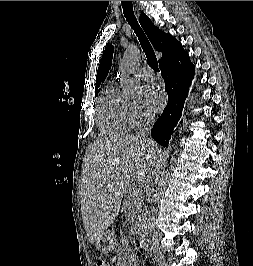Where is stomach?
Listing matches in <instances>:
<instances>
[{"instance_id":"obj_1","label":"stomach","mask_w":253,"mask_h":266,"mask_svg":"<svg viewBox=\"0 0 253 266\" xmlns=\"http://www.w3.org/2000/svg\"><path fill=\"white\" fill-rule=\"evenodd\" d=\"M115 244V235L113 231L106 230L99 240L96 241L97 249L102 253L110 252Z\"/></svg>"}]
</instances>
